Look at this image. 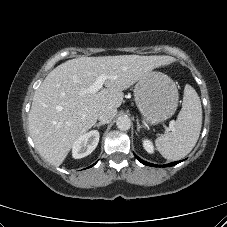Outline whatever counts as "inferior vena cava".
<instances>
[{
    "instance_id": "602c4592",
    "label": "inferior vena cava",
    "mask_w": 227,
    "mask_h": 227,
    "mask_svg": "<svg viewBox=\"0 0 227 227\" xmlns=\"http://www.w3.org/2000/svg\"><path fill=\"white\" fill-rule=\"evenodd\" d=\"M117 110L112 107L103 108L98 114V120L101 123H109L115 117Z\"/></svg>"
}]
</instances>
